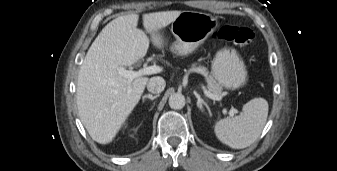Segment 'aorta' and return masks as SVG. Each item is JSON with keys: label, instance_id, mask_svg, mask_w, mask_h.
<instances>
[{"label": "aorta", "instance_id": "obj_1", "mask_svg": "<svg viewBox=\"0 0 337 171\" xmlns=\"http://www.w3.org/2000/svg\"><path fill=\"white\" fill-rule=\"evenodd\" d=\"M169 106L175 110L182 109L185 106L184 95L181 93H173L169 97Z\"/></svg>", "mask_w": 337, "mask_h": 171}]
</instances>
